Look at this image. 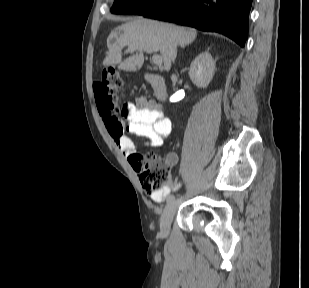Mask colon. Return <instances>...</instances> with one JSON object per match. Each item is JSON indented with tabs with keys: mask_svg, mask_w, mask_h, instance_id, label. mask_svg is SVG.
Returning <instances> with one entry per match:
<instances>
[{
	"mask_svg": "<svg viewBox=\"0 0 309 288\" xmlns=\"http://www.w3.org/2000/svg\"><path fill=\"white\" fill-rule=\"evenodd\" d=\"M122 87L119 73L106 67L100 79L94 83L93 89L97 105L103 118H110L117 123H126L129 117L128 104L117 105V94ZM132 161L137 165L142 188L149 194H158L168 188L171 181V165L154 153L145 156L134 154Z\"/></svg>",
	"mask_w": 309,
	"mask_h": 288,
	"instance_id": "colon-1",
	"label": "colon"
}]
</instances>
